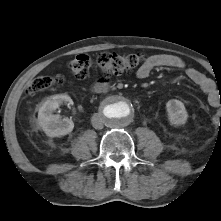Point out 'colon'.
<instances>
[{
	"label": "colon",
	"mask_w": 221,
	"mask_h": 221,
	"mask_svg": "<svg viewBox=\"0 0 221 221\" xmlns=\"http://www.w3.org/2000/svg\"><path fill=\"white\" fill-rule=\"evenodd\" d=\"M143 60L144 56L139 53L119 55L102 52L94 58L87 54H80L69 62L68 67L78 79L89 77L95 69H98L106 77H111L113 75L132 72ZM63 83L64 77L62 75L39 76L31 82L26 92L28 95H34L52 86L62 85ZM215 120L221 125V112L216 114Z\"/></svg>",
	"instance_id": "1"
}]
</instances>
